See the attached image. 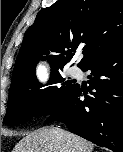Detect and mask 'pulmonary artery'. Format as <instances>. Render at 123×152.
Masks as SVG:
<instances>
[{"instance_id":"obj_1","label":"pulmonary artery","mask_w":123,"mask_h":152,"mask_svg":"<svg viewBox=\"0 0 123 152\" xmlns=\"http://www.w3.org/2000/svg\"><path fill=\"white\" fill-rule=\"evenodd\" d=\"M69 72L73 77H78L81 73L78 67H72Z\"/></svg>"}]
</instances>
